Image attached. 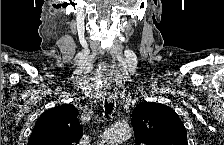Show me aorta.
I'll return each instance as SVG.
<instances>
[{"instance_id": "obj_1", "label": "aorta", "mask_w": 224, "mask_h": 145, "mask_svg": "<svg viewBox=\"0 0 224 145\" xmlns=\"http://www.w3.org/2000/svg\"><path fill=\"white\" fill-rule=\"evenodd\" d=\"M131 135L132 131L129 125L117 123L105 131L103 135V142L107 144L120 143L128 140Z\"/></svg>"}]
</instances>
